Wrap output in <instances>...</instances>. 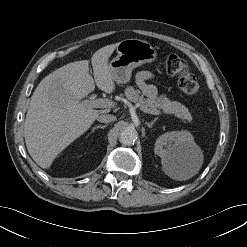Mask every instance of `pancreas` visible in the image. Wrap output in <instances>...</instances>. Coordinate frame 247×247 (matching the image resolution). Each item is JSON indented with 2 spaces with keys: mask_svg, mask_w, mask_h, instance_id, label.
Wrapping results in <instances>:
<instances>
[{
  "mask_svg": "<svg viewBox=\"0 0 247 247\" xmlns=\"http://www.w3.org/2000/svg\"><path fill=\"white\" fill-rule=\"evenodd\" d=\"M124 94L129 101L146 106L151 110L160 109L164 113L174 114L175 117L184 122H190L192 120L191 114L184 105L177 101L169 100L166 95H160L155 98H145L140 90L135 89L132 86H128L125 89Z\"/></svg>",
  "mask_w": 247,
  "mask_h": 247,
  "instance_id": "1",
  "label": "pancreas"
}]
</instances>
